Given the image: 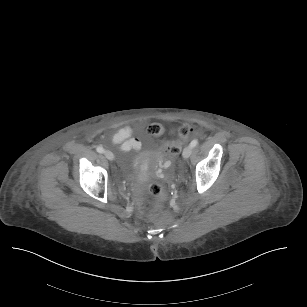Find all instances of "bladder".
<instances>
[{"label":"bladder","instance_id":"obj_1","mask_svg":"<svg viewBox=\"0 0 307 307\" xmlns=\"http://www.w3.org/2000/svg\"><path fill=\"white\" fill-rule=\"evenodd\" d=\"M142 154L140 151H130L122 159L123 167L126 170H132L139 162Z\"/></svg>","mask_w":307,"mask_h":307}]
</instances>
